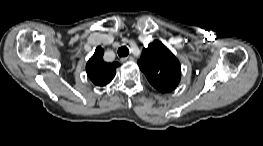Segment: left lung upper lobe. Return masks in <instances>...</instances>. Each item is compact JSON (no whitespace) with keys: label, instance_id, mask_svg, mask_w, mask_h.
I'll return each mask as SVG.
<instances>
[{"label":"left lung upper lobe","instance_id":"obj_1","mask_svg":"<svg viewBox=\"0 0 263 146\" xmlns=\"http://www.w3.org/2000/svg\"><path fill=\"white\" fill-rule=\"evenodd\" d=\"M138 66L150 84L161 93L173 91L181 79V67L174 54L155 40L143 49Z\"/></svg>","mask_w":263,"mask_h":146}]
</instances>
